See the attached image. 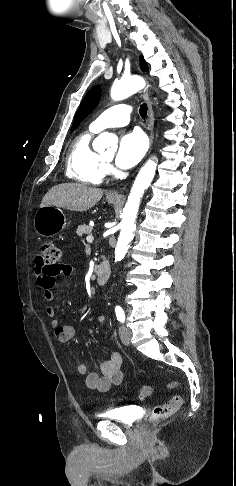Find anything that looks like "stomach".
Returning <instances> with one entry per match:
<instances>
[{"label": "stomach", "instance_id": "stomach-1", "mask_svg": "<svg viewBox=\"0 0 236 486\" xmlns=\"http://www.w3.org/2000/svg\"><path fill=\"white\" fill-rule=\"evenodd\" d=\"M107 201L111 204L116 199L107 198ZM33 225L38 235L50 237L60 233L66 227V217L59 207L44 206L36 212Z\"/></svg>", "mask_w": 236, "mask_h": 486}]
</instances>
